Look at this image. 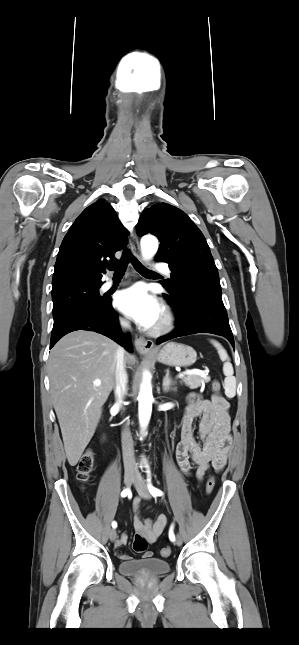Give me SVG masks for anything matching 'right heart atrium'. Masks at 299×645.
<instances>
[{
	"label": "right heart atrium",
	"mask_w": 299,
	"mask_h": 645,
	"mask_svg": "<svg viewBox=\"0 0 299 645\" xmlns=\"http://www.w3.org/2000/svg\"><path fill=\"white\" fill-rule=\"evenodd\" d=\"M118 322H119V324H120L121 326H124V327L128 325L127 320H126L125 318H123V317H119V318H118Z\"/></svg>",
	"instance_id": "obj_1"
}]
</instances>
